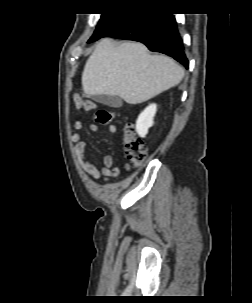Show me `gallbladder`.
<instances>
[{"mask_svg":"<svg viewBox=\"0 0 252 303\" xmlns=\"http://www.w3.org/2000/svg\"><path fill=\"white\" fill-rule=\"evenodd\" d=\"M93 100L113 108H120L123 105L122 99L119 96L111 95H95Z\"/></svg>","mask_w":252,"mask_h":303,"instance_id":"gallbladder-1","label":"gallbladder"}]
</instances>
